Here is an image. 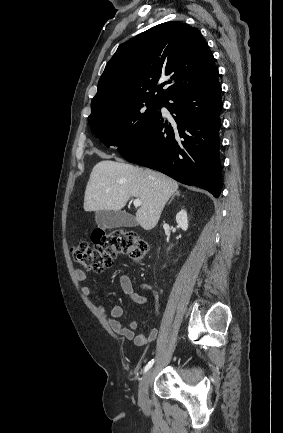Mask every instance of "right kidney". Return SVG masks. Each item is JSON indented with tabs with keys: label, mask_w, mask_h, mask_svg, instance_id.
<instances>
[{
	"label": "right kidney",
	"mask_w": 283,
	"mask_h": 433,
	"mask_svg": "<svg viewBox=\"0 0 283 433\" xmlns=\"http://www.w3.org/2000/svg\"><path fill=\"white\" fill-rule=\"evenodd\" d=\"M176 222L182 230H184V231L187 230L188 218H187V212L185 210L182 209L180 212L177 213Z\"/></svg>",
	"instance_id": "obj_1"
}]
</instances>
